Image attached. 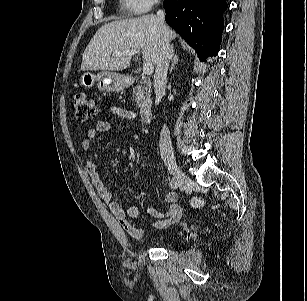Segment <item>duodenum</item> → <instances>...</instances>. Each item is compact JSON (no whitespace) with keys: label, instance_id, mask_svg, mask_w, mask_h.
Wrapping results in <instances>:
<instances>
[{"label":"duodenum","instance_id":"obj_1","mask_svg":"<svg viewBox=\"0 0 307 301\" xmlns=\"http://www.w3.org/2000/svg\"><path fill=\"white\" fill-rule=\"evenodd\" d=\"M131 82L137 84L139 80L136 77L131 78ZM153 105L148 101H141L139 104L140 118L144 122H148L152 116Z\"/></svg>","mask_w":307,"mask_h":301}]
</instances>
